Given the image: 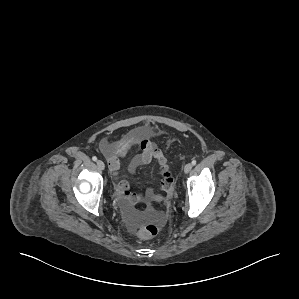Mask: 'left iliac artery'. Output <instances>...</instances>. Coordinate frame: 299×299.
Segmentation results:
<instances>
[{"instance_id": "obj_1", "label": "left iliac artery", "mask_w": 299, "mask_h": 299, "mask_svg": "<svg viewBox=\"0 0 299 299\" xmlns=\"http://www.w3.org/2000/svg\"><path fill=\"white\" fill-rule=\"evenodd\" d=\"M191 163H192V165H196L197 162H196V160H193Z\"/></svg>"}]
</instances>
